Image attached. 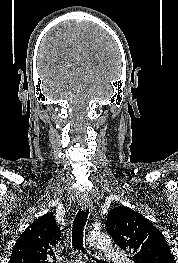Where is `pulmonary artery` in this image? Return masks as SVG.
<instances>
[{
	"label": "pulmonary artery",
	"mask_w": 178,
	"mask_h": 263,
	"mask_svg": "<svg viewBox=\"0 0 178 263\" xmlns=\"http://www.w3.org/2000/svg\"><path fill=\"white\" fill-rule=\"evenodd\" d=\"M106 257L111 259L114 262H119V263H129V260L125 256L124 253L118 251V250H113L109 252ZM76 263H82L81 261H76Z\"/></svg>",
	"instance_id": "1"
}]
</instances>
